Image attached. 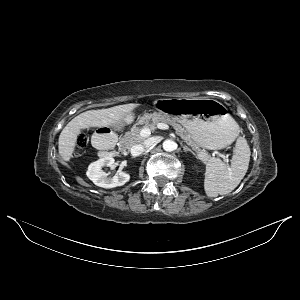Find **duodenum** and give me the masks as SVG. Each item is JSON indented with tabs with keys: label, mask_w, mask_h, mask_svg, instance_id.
Wrapping results in <instances>:
<instances>
[{
	"label": "duodenum",
	"mask_w": 300,
	"mask_h": 300,
	"mask_svg": "<svg viewBox=\"0 0 300 300\" xmlns=\"http://www.w3.org/2000/svg\"><path fill=\"white\" fill-rule=\"evenodd\" d=\"M113 139V135L109 131L100 134L98 133L93 136V142L98 148L102 157H109L118 154L116 151H112L109 148V145L113 142Z\"/></svg>",
	"instance_id": "duodenum-1"
}]
</instances>
